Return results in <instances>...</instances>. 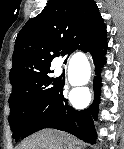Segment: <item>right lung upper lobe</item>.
<instances>
[{"label":"right lung upper lobe","instance_id":"cb5924a9","mask_svg":"<svg viewBox=\"0 0 124 149\" xmlns=\"http://www.w3.org/2000/svg\"><path fill=\"white\" fill-rule=\"evenodd\" d=\"M105 39L106 27L93 0H49L15 40L10 70L13 89L51 71L56 56L68 57L75 50L88 52Z\"/></svg>","mask_w":124,"mask_h":149}]
</instances>
